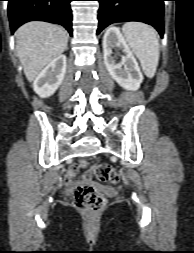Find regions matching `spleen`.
<instances>
[{"mask_svg":"<svg viewBox=\"0 0 194 253\" xmlns=\"http://www.w3.org/2000/svg\"><path fill=\"white\" fill-rule=\"evenodd\" d=\"M127 44L139 59L142 70L153 78L159 62L160 47L155 29L141 22H127L122 27Z\"/></svg>","mask_w":194,"mask_h":253,"instance_id":"obj_1","label":"spleen"}]
</instances>
